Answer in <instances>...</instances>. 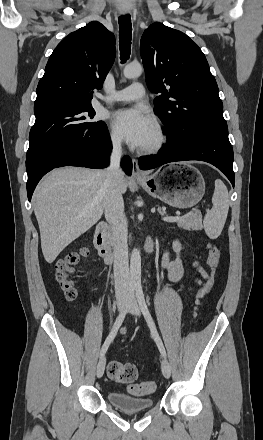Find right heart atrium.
Masks as SVG:
<instances>
[{"label":"right heart atrium","instance_id":"right-heart-atrium-1","mask_svg":"<svg viewBox=\"0 0 263 440\" xmlns=\"http://www.w3.org/2000/svg\"><path fill=\"white\" fill-rule=\"evenodd\" d=\"M109 142L111 143V145L118 147L121 145V138L118 136L116 132L110 131Z\"/></svg>","mask_w":263,"mask_h":440}]
</instances>
